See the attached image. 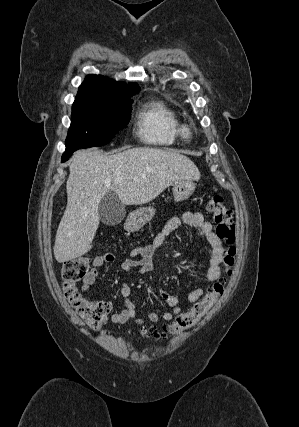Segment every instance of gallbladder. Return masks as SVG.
<instances>
[{
  "instance_id": "bac80fb5",
  "label": "gallbladder",
  "mask_w": 299,
  "mask_h": 427,
  "mask_svg": "<svg viewBox=\"0 0 299 427\" xmlns=\"http://www.w3.org/2000/svg\"><path fill=\"white\" fill-rule=\"evenodd\" d=\"M98 213L100 220L104 224L114 226L122 222L125 217L126 210L117 194L115 192L108 191L98 205Z\"/></svg>"
}]
</instances>
